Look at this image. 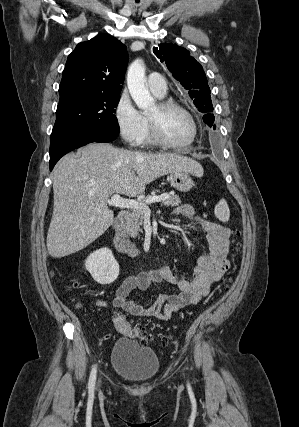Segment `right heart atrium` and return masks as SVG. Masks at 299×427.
<instances>
[{
  "label": "right heart atrium",
  "mask_w": 299,
  "mask_h": 427,
  "mask_svg": "<svg viewBox=\"0 0 299 427\" xmlns=\"http://www.w3.org/2000/svg\"><path fill=\"white\" fill-rule=\"evenodd\" d=\"M114 118L120 137L129 145L142 143L146 121L133 104L128 92L123 91L114 107Z\"/></svg>",
  "instance_id": "right-heart-atrium-1"
}]
</instances>
